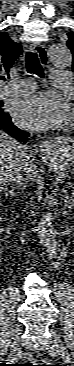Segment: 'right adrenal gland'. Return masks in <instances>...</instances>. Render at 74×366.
I'll return each instance as SVG.
<instances>
[{
  "label": "right adrenal gland",
  "instance_id": "obj_1",
  "mask_svg": "<svg viewBox=\"0 0 74 366\" xmlns=\"http://www.w3.org/2000/svg\"><path fill=\"white\" fill-rule=\"evenodd\" d=\"M14 191V187H12L11 190L6 192V197H13L15 195Z\"/></svg>",
  "mask_w": 74,
  "mask_h": 366
}]
</instances>
